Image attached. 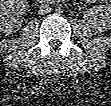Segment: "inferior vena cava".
I'll use <instances>...</instances> for the list:
<instances>
[{"instance_id":"1","label":"inferior vena cava","mask_w":111,"mask_h":106,"mask_svg":"<svg viewBox=\"0 0 111 106\" xmlns=\"http://www.w3.org/2000/svg\"><path fill=\"white\" fill-rule=\"evenodd\" d=\"M50 11H51V7H50V5H48V4H41V5L39 6L38 12H39V14H41V15H45V14L49 13Z\"/></svg>"}]
</instances>
